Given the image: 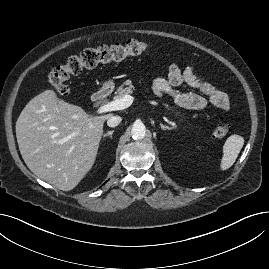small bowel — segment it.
<instances>
[{"instance_id":"obj_1","label":"small bowel","mask_w":269,"mask_h":269,"mask_svg":"<svg viewBox=\"0 0 269 269\" xmlns=\"http://www.w3.org/2000/svg\"><path fill=\"white\" fill-rule=\"evenodd\" d=\"M187 84L196 93H182L177 86ZM152 88L157 96L169 95L180 107L188 110H203L208 104L221 110L230 108V99L225 92L211 82L200 78L192 66L180 68L173 64L169 67L167 77L153 81Z\"/></svg>"}]
</instances>
